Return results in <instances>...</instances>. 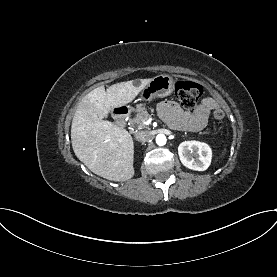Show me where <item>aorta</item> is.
Here are the masks:
<instances>
[{"instance_id": "762f6f07", "label": "aorta", "mask_w": 277, "mask_h": 277, "mask_svg": "<svg viewBox=\"0 0 277 277\" xmlns=\"http://www.w3.org/2000/svg\"><path fill=\"white\" fill-rule=\"evenodd\" d=\"M166 141H167V139H166V136L164 134H158L156 136V143L158 145H160V146L165 145Z\"/></svg>"}]
</instances>
